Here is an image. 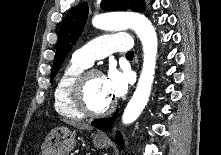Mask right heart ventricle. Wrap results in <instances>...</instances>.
Masks as SVG:
<instances>
[{"instance_id": "e07e8e85", "label": "right heart ventricle", "mask_w": 221, "mask_h": 155, "mask_svg": "<svg viewBox=\"0 0 221 155\" xmlns=\"http://www.w3.org/2000/svg\"><path fill=\"white\" fill-rule=\"evenodd\" d=\"M87 67L73 59L59 75L53 93L54 107L58 114L73 119L83 118L84 115L72 105L69 90L76 76Z\"/></svg>"}]
</instances>
